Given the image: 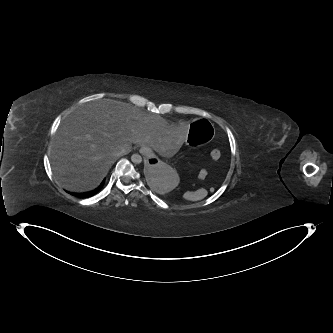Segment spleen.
Here are the masks:
<instances>
[{
  "instance_id": "obj_1",
  "label": "spleen",
  "mask_w": 333,
  "mask_h": 333,
  "mask_svg": "<svg viewBox=\"0 0 333 333\" xmlns=\"http://www.w3.org/2000/svg\"><path fill=\"white\" fill-rule=\"evenodd\" d=\"M206 195H207L206 191L199 189L196 192H188L186 194V198L200 200V199H203Z\"/></svg>"
}]
</instances>
